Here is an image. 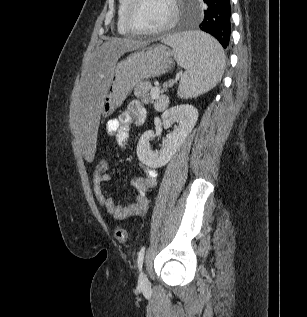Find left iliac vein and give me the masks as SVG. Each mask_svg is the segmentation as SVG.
Instances as JSON below:
<instances>
[{
  "label": "left iliac vein",
  "mask_w": 307,
  "mask_h": 317,
  "mask_svg": "<svg viewBox=\"0 0 307 317\" xmlns=\"http://www.w3.org/2000/svg\"><path fill=\"white\" fill-rule=\"evenodd\" d=\"M138 286L141 289H149V287H150V283L148 281V278L143 272L140 273L139 280H138Z\"/></svg>",
  "instance_id": "obj_1"
}]
</instances>
